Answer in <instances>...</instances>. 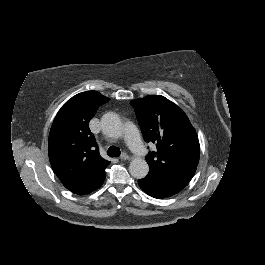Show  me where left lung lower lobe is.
Masks as SVG:
<instances>
[{
    "label": "left lung lower lobe",
    "instance_id": "0a47b994",
    "mask_svg": "<svg viewBox=\"0 0 265 265\" xmlns=\"http://www.w3.org/2000/svg\"><path fill=\"white\" fill-rule=\"evenodd\" d=\"M140 188L154 198L170 197L181 191L187 181L166 180L148 174L145 178L138 180Z\"/></svg>",
    "mask_w": 265,
    "mask_h": 265
}]
</instances>
